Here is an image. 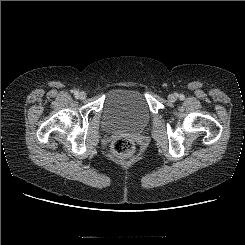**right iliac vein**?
Here are the masks:
<instances>
[{
  "mask_svg": "<svg viewBox=\"0 0 245 245\" xmlns=\"http://www.w3.org/2000/svg\"><path fill=\"white\" fill-rule=\"evenodd\" d=\"M86 96H87V94H86V92H84V91H81V92L78 93V97H79V99H81V100L85 99Z\"/></svg>",
  "mask_w": 245,
  "mask_h": 245,
  "instance_id": "63e3f726",
  "label": "right iliac vein"
}]
</instances>
